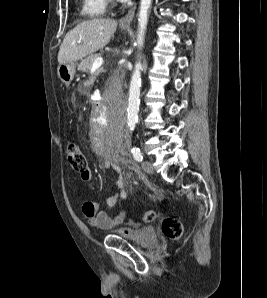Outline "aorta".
<instances>
[{
    "label": "aorta",
    "instance_id": "obj_1",
    "mask_svg": "<svg viewBox=\"0 0 267 298\" xmlns=\"http://www.w3.org/2000/svg\"><path fill=\"white\" fill-rule=\"evenodd\" d=\"M151 4H152V0L140 1V10L138 15V34H137V44L139 48L143 47V44H144V36H145L146 27L148 23V11L151 7ZM141 69H142V64L139 60L135 64V69L132 74L130 88H129L127 123L131 130L135 128L138 121V111H139V104H140Z\"/></svg>",
    "mask_w": 267,
    "mask_h": 298
}]
</instances>
